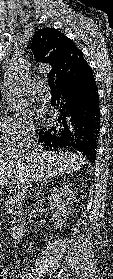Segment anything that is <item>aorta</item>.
Here are the masks:
<instances>
[{"instance_id":"762f6f07","label":"aorta","mask_w":113,"mask_h":279,"mask_svg":"<svg viewBox=\"0 0 113 279\" xmlns=\"http://www.w3.org/2000/svg\"><path fill=\"white\" fill-rule=\"evenodd\" d=\"M19 97H20V94L18 93V91L12 90V93H10V96H9V100L11 102V107L14 108V104L19 99Z\"/></svg>"}]
</instances>
